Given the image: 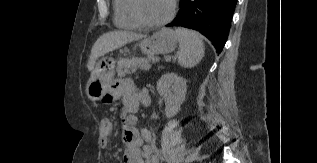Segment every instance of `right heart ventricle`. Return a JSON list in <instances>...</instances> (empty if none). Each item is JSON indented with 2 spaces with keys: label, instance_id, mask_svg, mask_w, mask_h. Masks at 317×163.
<instances>
[{
  "label": "right heart ventricle",
  "instance_id": "e07e8e85",
  "mask_svg": "<svg viewBox=\"0 0 317 163\" xmlns=\"http://www.w3.org/2000/svg\"><path fill=\"white\" fill-rule=\"evenodd\" d=\"M114 24L121 29L135 30L142 26L135 20L130 9V0H114Z\"/></svg>",
  "mask_w": 317,
  "mask_h": 163
}]
</instances>
